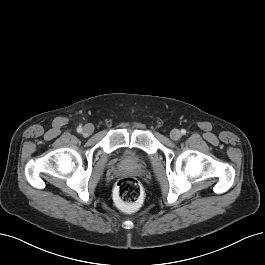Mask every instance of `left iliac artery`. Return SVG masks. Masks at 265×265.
I'll list each match as a JSON object with an SVG mask.
<instances>
[{
  "instance_id": "44dca946",
  "label": "left iliac artery",
  "mask_w": 265,
  "mask_h": 265,
  "mask_svg": "<svg viewBox=\"0 0 265 265\" xmlns=\"http://www.w3.org/2000/svg\"><path fill=\"white\" fill-rule=\"evenodd\" d=\"M181 133L184 135V134H186V130L185 129H182L181 130Z\"/></svg>"
}]
</instances>
